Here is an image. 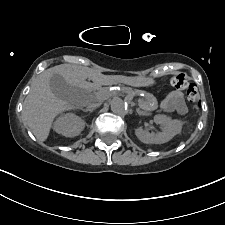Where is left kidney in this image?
I'll use <instances>...</instances> for the list:
<instances>
[{"mask_svg":"<svg viewBox=\"0 0 225 225\" xmlns=\"http://www.w3.org/2000/svg\"><path fill=\"white\" fill-rule=\"evenodd\" d=\"M154 122L162 125V132L158 134L149 133L142 127L135 129L137 138L145 144H162L171 140L182 129V123L179 120H173L167 115H155Z\"/></svg>","mask_w":225,"mask_h":225,"instance_id":"left-kidney-1","label":"left kidney"}]
</instances>
